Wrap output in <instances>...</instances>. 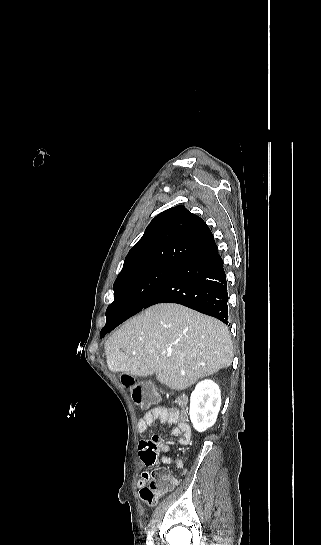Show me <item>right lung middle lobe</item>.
I'll return each mask as SVG.
<instances>
[{"instance_id": "obj_1", "label": "right lung middle lobe", "mask_w": 321, "mask_h": 545, "mask_svg": "<svg viewBox=\"0 0 321 545\" xmlns=\"http://www.w3.org/2000/svg\"><path fill=\"white\" fill-rule=\"evenodd\" d=\"M178 267L159 264L119 274L113 286L114 301L108 306L107 311L114 310L115 319L118 320H126L135 315L143 309L148 300ZM106 317V324H108L109 313Z\"/></svg>"}]
</instances>
